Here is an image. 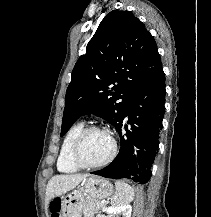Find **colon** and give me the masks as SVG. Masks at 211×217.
Returning a JSON list of instances; mask_svg holds the SVG:
<instances>
[{"mask_svg": "<svg viewBox=\"0 0 211 217\" xmlns=\"http://www.w3.org/2000/svg\"><path fill=\"white\" fill-rule=\"evenodd\" d=\"M52 217H58V204L55 202L52 206Z\"/></svg>", "mask_w": 211, "mask_h": 217, "instance_id": "colon-1", "label": "colon"}]
</instances>
